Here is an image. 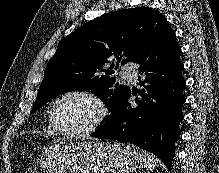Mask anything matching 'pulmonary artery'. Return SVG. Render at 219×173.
<instances>
[{
    "mask_svg": "<svg viewBox=\"0 0 219 173\" xmlns=\"http://www.w3.org/2000/svg\"><path fill=\"white\" fill-rule=\"evenodd\" d=\"M121 76L123 79L129 81H135L136 79L135 69L130 65H125L121 70Z\"/></svg>",
    "mask_w": 219,
    "mask_h": 173,
    "instance_id": "1",
    "label": "pulmonary artery"
}]
</instances>
